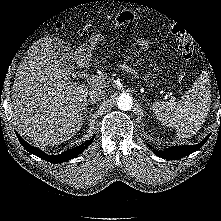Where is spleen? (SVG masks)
<instances>
[{"label":"spleen","mask_w":221,"mask_h":221,"mask_svg":"<svg viewBox=\"0 0 221 221\" xmlns=\"http://www.w3.org/2000/svg\"><path fill=\"white\" fill-rule=\"evenodd\" d=\"M210 92L208 75L202 73L179 101L156 102L152 109L163 124L176 130L178 137L189 138L205 122L210 109Z\"/></svg>","instance_id":"obj_1"}]
</instances>
